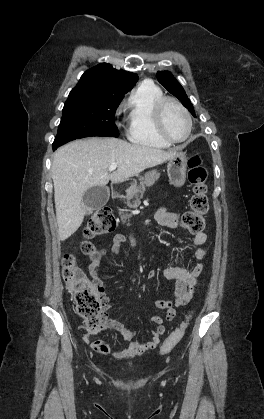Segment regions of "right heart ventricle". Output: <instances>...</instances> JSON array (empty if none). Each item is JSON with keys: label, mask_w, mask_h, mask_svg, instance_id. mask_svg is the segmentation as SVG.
I'll return each mask as SVG.
<instances>
[{"label": "right heart ventricle", "mask_w": 264, "mask_h": 419, "mask_svg": "<svg viewBox=\"0 0 264 419\" xmlns=\"http://www.w3.org/2000/svg\"><path fill=\"white\" fill-rule=\"evenodd\" d=\"M163 96L162 90L149 81L142 82L131 92L125 103L128 113L127 137L131 142L161 149L170 146L159 137L154 124V107Z\"/></svg>", "instance_id": "obj_1"}]
</instances>
